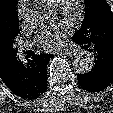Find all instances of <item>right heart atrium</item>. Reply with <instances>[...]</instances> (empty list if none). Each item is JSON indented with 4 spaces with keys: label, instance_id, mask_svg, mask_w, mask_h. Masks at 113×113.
Returning <instances> with one entry per match:
<instances>
[{
    "label": "right heart atrium",
    "instance_id": "1",
    "mask_svg": "<svg viewBox=\"0 0 113 113\" xmlns=\"http://www.w3.org/2000/svg\"><path fill=\"white\" fill-rule=\"evenodd\" d=\"M16 16L20 26H25L27 23L28 18V7L26 0H20L17 9H16Z\"/></svg>",
    "mask_w": 113,
    "mask_h": 113
}]
</instances>
